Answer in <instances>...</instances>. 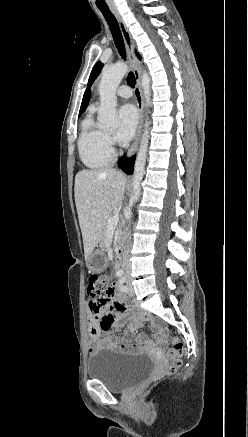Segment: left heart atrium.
Listing matches in <instances>:
<instances>
[{
  "instance_id": "left-heart-atrium-1",
  "label": "left heart atrium",
  "mask_w": 248,
  "mask_h": 437,
  "mask_svg": "<svg viewBox=\"0 0 248 437\" xmlns=\"http://www.w3.org/2000/svg\"><path fill=\"white\" fill-rule=\"evenodd\" d=\"M118 130L117 137L123 141H129L136 130L138 124V113L132 104L123 105L118 111Z\"/></svg>"
}]
</instances>
